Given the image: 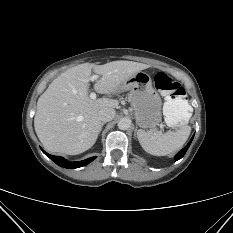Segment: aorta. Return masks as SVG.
I'll use <instances>...</instances> for the list:
<instances>
[{
  "instance_id": "obj_1",
  "label": "aorta",
  "mask_w": 233,
  "mask_h": 233,
  "mask_svg": "<svg viewBox=\"0 0 233 233\" xmlns=\"http://www.w3.org/2000/svg\"><path fill=\"white\" fill-rule=\"evenodd\" d=\"M117 126L120 130H128L131 126V120L127 117H124L119 120Z\"/></svg>"
}]
</instances>
